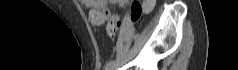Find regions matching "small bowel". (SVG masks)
Wrapping results in <instances>:
<instances>
[{
  "label": "small bowel",
  "mask_w": 238,
  "mask_h": 70,
  "mask_svg": "<svg viewBox=\"0 0 238 70\" xmlns=\"http://www.w3.org/2000/svg\"><path fill=\"white\" fill-rule=\"evenodd\" d=\"M110 2L119 6H124L126 4L125 0H111ZM82 3L90 9L89 19L95 26L103 25L108 19L120 20L119 15L111 13L107 9V0H83Z\"/></svg>",
  "instance_id": "c3829d8e"
}]
</instances>
